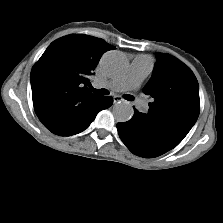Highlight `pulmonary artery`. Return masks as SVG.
I'll use <instances>...</instances> for the list:
<instances>
[{"instance_id": "e3ab8cb5", "label": "pulmonary artery", "mask_w": 223, "mask_h": 223, "mask_svg": "<svg viewBox=\"0 0 223 223\" xmlns=\"http://www.w3.org/2000/svg\"><path fill=\"white\" fill-rule=\"evenodd\" d=\"M145 63L146 62H143L141 60H135L127 75L119 79L108 81L104 84V86L109 87L115 91L137 89L145 76L143 72ZM136 106L140 109L146 108V104L142 100H137Z\"/></svg>"}]
</instances>
